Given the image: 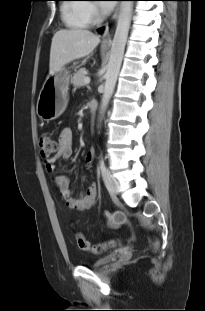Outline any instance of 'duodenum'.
Returning a JSON list of instances; mask_svg holds the SVG:
<instances>
[{"mask_svg": "<svg viewBox=\"0 0 205 311\" xmlns=\"http://www.w3.org/2000/svg\"><path fill=\"white\" fill-rule=\"evenodd\" d=\"M97 106H98L97 102H96V101H92V102L90 103V110H91L92 112H95V111L97 110Z\"/></svg>", "mask_w": 205, "mask_h": 311, "instance_id": "duodenum-1", "label": "duodenum"}]
</instances>
